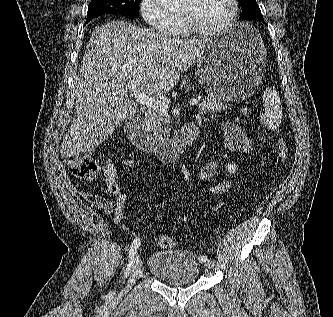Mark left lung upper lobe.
<instances>
[{"instance_id":"1","label":"left lung upper lobe","mask_w":333,"mask_h":317,"mask_svg":"<svg viewBox=\"0 0 333 317\" xmlns=\"http://www.w3.org/2000/svg\"><path fill=\"white\" fill-rule=\"evenodd\" d=\"M242 8L241 19L263 21V17L256 0H239Z\"/></svg>"}]
</instances>
